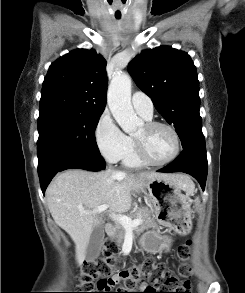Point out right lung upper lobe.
<instances>
[{"mask_svg":"<svg viewBox=\"0 0 245 293\" xmlns=\"http://www.w3.org/2000/svg\"><path fill=\"white\" fill-rule=\"evenodd\" d=\"M105 67V59L92 49H77L60 57L44 79L39 111L102 113L107 94Z\"/></svg>","mask_w":245,"mask_h":293,"instance_id":"1","label":"right lung upper lobe"}]
</instances>
